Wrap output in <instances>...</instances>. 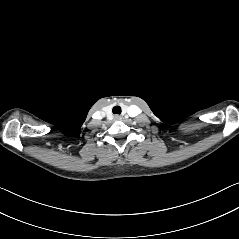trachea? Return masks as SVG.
Returning <instances> with one entry per match:
<instances>
[{"mask_svg":"<svg viewBox=\"0 0 239 239\" xmlns=\"http://www.w3.org/2000/svg\"><path fill=\"white\" fill-rule=\"evenodd\" d=\"M113 114H121V107L120 106H115L112 109Z\"/></svg>","mask_w":239,"mask_h":239,"instance_id":"trachea-1","label":"trachea"}]
</instances>
